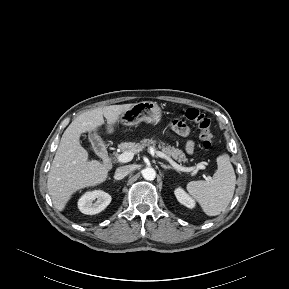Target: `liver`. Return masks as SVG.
<instances>
[{
    "label": "liver",
    "instance_id": "1",
    "mask_svg": "<svg viewBox=\"0 0 289 289\" xmlns=\"http://www.w3.org/2000/svg\"><path fill=\"white\" fill-rule=\"evenodd\" d=\"M133 105H111L84 112L64 131L47 179L48 192L57 210H64L76 191L101 184L108 177L109 170L104 164L89 159L80 136L98 130L104 124L103 117L107 120V133L112 134L121 114Z\"/></svg>",
    "mask_w": 289,
    "mask_h": 289
}]
</instances>
